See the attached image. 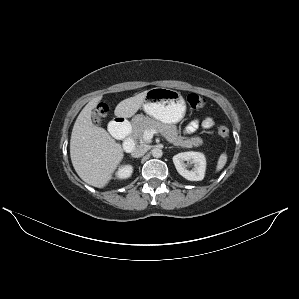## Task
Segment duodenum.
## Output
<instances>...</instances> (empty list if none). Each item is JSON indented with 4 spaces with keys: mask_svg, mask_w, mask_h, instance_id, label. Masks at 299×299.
Listing matches in <instances>:
<instances>
[{
    "mask_svg": "<svg viewBox=\"0 0 299 299\" xmlns=\"http://www.w3.org/2000/svg\"><path fill=\"white\" fill-rule=\"evenodd\" d=\"M109 130L113 133H128V136L125 138L123 142V149L125 152H131L135 148V141L130 136V128L126 122V120L122 117L115 119L114 122L110 124Z\"/></svg>",
    "mask_w": 299,
    "mask_h": 299,
    "instance_id": "410a0bca",
    "label": "duodenum"
}]
</instances>
